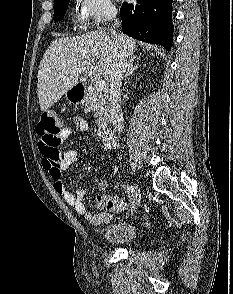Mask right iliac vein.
I'll use <instances>...</instances> for the list:
<instances>
[{
	"mask_svg": "<svg viewBox=\"0 0 233 294\" xmlns=\"http://www.w3.org/2000/svg\"><path fill=\"white\" fill-rule=\"evenodd\" d=\"M133 186L135 187L136 191H135L132 211H134L137 208V206L140 203V199H141L140 188L138 187V185L136 183H133Z\"/></svg>",
	"mask_w": 233,
	"mask_h": 294,
	"instance_id": "63e3f726",
	"label": "right iliac vein"
}]
</instances>
